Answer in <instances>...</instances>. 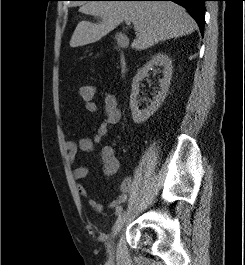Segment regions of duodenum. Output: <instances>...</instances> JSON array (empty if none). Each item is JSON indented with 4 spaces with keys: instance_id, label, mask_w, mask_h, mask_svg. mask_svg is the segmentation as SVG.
<instances>
[{
    "instance_id": "duodenum-1",
    "label": "duodenum",
    "mask_w": 245,
    "mask_h": 265,
    "mask_svg": "<svg viewBox=\"0 0 245 265\" xmlns=\"http://www.w3.org/2000/svg\"><path fill=\"white\" fill-rule=\"evenodd\" d=\"M120 66H121L122 71L125 72L127 70V61L124 55L120 56Z\"/></svg>"
}]
</instances>
